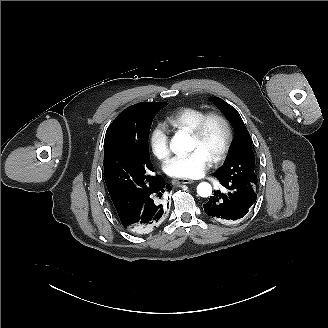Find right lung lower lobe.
<instances>
[{"mask_svg":"<svg viewBox=\"0 0 328 328\" xmlns=\"http://www.w3.org/2000/svg\"><path fill=\"white\" fill-rule=\"evenodd\" d=\"M170 191V184L166 185L163 178L158 176L152 189L141 199L131 203L125 215L120 216L124 228L137 234L149 233L163 220L167 203L162 196L164 192Z\"/></svg>","mask_w":328,"mask_h":328,"instance_id":"obj_1","label":"right lung lower lobe"}]
</instances>
